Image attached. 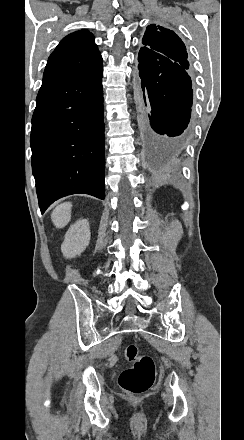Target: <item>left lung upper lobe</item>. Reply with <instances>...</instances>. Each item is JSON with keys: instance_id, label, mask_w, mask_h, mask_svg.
Instances as JSON below:
<instances>
[{"instance_id": "1", "label": "left lung upper lobe", "mask_w": 244, "mask_h": 440, "mask_svg": "<svg viewBox=\"0 0 244 440\" xmlns=\"http://www.w3.org/2000/svg\"><path fill=\"white\" fill-rule=\"evenodd\" d=\"M138 61L159 65H175L189 69L188 54L182 40L172 31L151 24L143 36Z\"/></svg>"}]
</instances>
